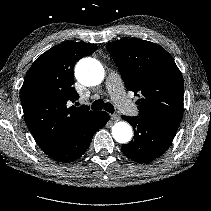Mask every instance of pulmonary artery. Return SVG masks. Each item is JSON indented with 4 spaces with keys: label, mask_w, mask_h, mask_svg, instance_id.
<instances>
[{
    "label": "pulmonary artery",
    "mask_w": 211,
    "mask_h": 211,
    "mask_svg": "<svg viewBox=\"0 0 211 211\" xmlns=\"http://www.w3.org/2000/svg\"><path fill=\"white\" fill-rule=\"evenodd\" d=\"M107 89L116 102L117 107L125 114L132 115L137 112L136 106L130 101L119 74L111 72L107 77Z\"/></svg>",
    "instance_id": "1"
}]
</instances>
